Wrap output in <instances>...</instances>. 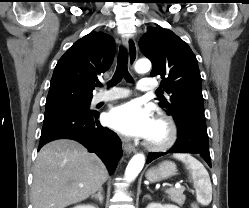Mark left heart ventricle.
Returning <instances> with one entry per match:
<instances>
[{"label": "left heart ventricle", "instance_id": "b2bd125f", "mask_svg": "<svg viewBox=\"0 0 249 208\" xmlns=\"http://www.w3.org/2000/svg\"><path fill=\"white\" fill-rule=\"evenodd\" d=\"M165 135V131L164 128L162 126H160L159 124L155 123V127L153 130V133L150 137L151 140H155V141H159L161 139H163Z\"/></svg>", "mask_w": 249, "mask_h": 208}]
</instances>
